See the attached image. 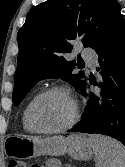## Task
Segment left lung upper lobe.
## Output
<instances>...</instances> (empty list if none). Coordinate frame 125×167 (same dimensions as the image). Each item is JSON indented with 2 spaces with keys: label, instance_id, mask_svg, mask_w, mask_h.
<instances>
[{
  "label": "left lung upper lobe",
  "instance_id": "left-lung-upper-lobe-1",
  "mask_svg": "<svg viewBox=\"0 0 125 167\" xmlns=\"http://www.w3.org/2000/svg\"><path fill=\"white\" fill-rule=\"evenodd\" d=\"M120 15L116 0H47L33 7L18 32L14 105L45 78L63 77L83 91L84 73L72 74L79 62L67 61L64 54L71 52L76 39L96 49Z\"/></svg>",
  "mask_w": 125,
  "mask_h": 167
}]
</instances>
